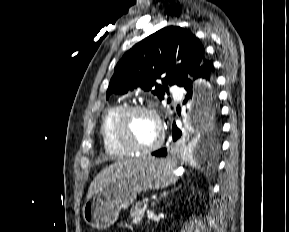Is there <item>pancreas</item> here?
Masks as SVG:
<instances>
[{
    "instance_id": "pancreas-1",
    "label": "pancreas",
    "mask_w": 289,
    "mask_h": 232,
    "mask_svg": "<svg viewBox=\"0 0 289 232\" xmlns=\"http://www.w3.org/2000/svg\"><path fill=\"white\" fill-rule=\"evenodd\" d=\"M147 209V205L143 202H137L130 211V217L133 218L134 224H139L145 214V211Z\"/></svg>"
}]
</instances>
